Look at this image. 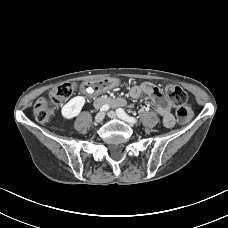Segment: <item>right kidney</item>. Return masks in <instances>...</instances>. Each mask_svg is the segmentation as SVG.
I'll use <instances>...</instances> for the list:
<instances>
[{"label":"right kidney","instance_id":"right-kidney-1","mask_svg":"<svg viewBox=\"0 0 228 228\" xmlns=\"http://www.w3.org/2000/svg\"><path fill=\"white\" fill-rule=\"evenodd\" d=\"M85 104V98L83 96L73 97L68 103H66L61 110L62 116L65 119H72L79 115L82 107Z\"/></svg>","mask_w":228,"mask_h":228}]
</instances>
